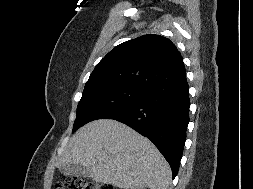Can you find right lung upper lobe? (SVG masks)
I'll return each instance as SVG.
<instances>
[{"label": "right lung upper lobe", "instance_id": "right-lung-upper-lobe-1", "mask_svg": "<svg viewBox=\"0 0 253 189\" xmlns=\"http://www.w3.org/2000/svg\"><path fill=\"white\" fill-rule=\"evenodd\" d=\"M186 79L183 59L167 38L148 34L116 46L95 67L84 91L107 86L150 90Z\"/></svg>", "mask_w": 253, "mask_h": 189}]
</instances>
